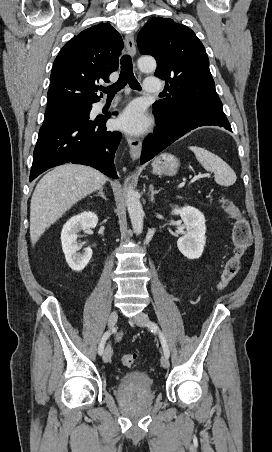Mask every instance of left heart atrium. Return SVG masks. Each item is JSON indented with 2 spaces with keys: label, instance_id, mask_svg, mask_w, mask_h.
Listing matches in <instances>:
<instances>
[{
  "label": "left heart atrium",
  "instance_id": "obj_1",
  "mask_svg": "<svg viewBox=\"0 0 272 452\" xmlns=\"http://www.w3.org/2000/svg\"><path fill=\"white\" fill-rule=\"evenodd\" d=\"M148 125L149 119L139 104L128 106L116 120L117 128L133 134L144 131Z\"/></svg>",
  "mask_w": 272,
  "mask_h": 452
}]
</instances>
